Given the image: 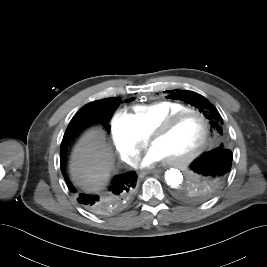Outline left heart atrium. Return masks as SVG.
<instances>
[{"label": "left heart atrium", "mask_w": 267, "mask_h": 267, "mask_svg": "<svg viewBox=\"0 0 267 267\" xmlns=\"http://www.w3.org/2000/svg\"><path fill=\"white\" fill-rule=\"evenodd\" d=\"M166 159V155L159 148L152 146L142 159L141 164L142 166L149 167Z\"/></svg>", "instance_id": "left-heart-atrium-1"}]
</instances>
